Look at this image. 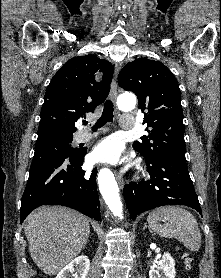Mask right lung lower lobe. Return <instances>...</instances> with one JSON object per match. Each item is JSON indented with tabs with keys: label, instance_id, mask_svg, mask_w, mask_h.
<instances>
[{
	"label": "right lung lower lobe",
	"instance_id": "obj_1",
	"mask_svg": "<svg viewBox=\"0 0 221 278\" xmlns=\"http://www.w3.org/2000/svg\"><path fill=\"white\" fill-rule=\"evenodd\" d=\"M86 152L53 160L29 172L21 201V223L41 205H63L101 221L97 169L82 170Z\"/></svg>",
	"mask_w": 221,
	"mask_h": 278
}]
</instances>
